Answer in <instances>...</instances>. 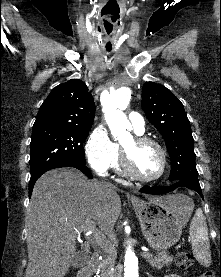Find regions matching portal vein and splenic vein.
<instances>
[{
	"label": "portal vein and splenic vein",
	"instance_id": "18ae733b",
	"mask_svg": "<svg viewBox=\"0 0 221 277\" xmlns=\"http://www.w3.org/2000/svg\"><path fill=\"white\" fill-rule=\"evenodd\" d=\"M85 231L88 234H92L93 237L95 238L96 242L102 248H105L108 245L109 241L106 239L104 234H102L100 231L96 230V226H95L94 222H90V225L85 229ZM142 255L145 256V257L152 256V254L149 253L148 251L143 252Z\"/></svg>",
	"mask_w": 221,
	"mask_h": 277
}]
</instances>
